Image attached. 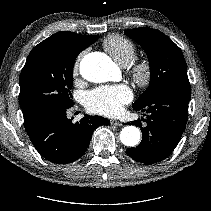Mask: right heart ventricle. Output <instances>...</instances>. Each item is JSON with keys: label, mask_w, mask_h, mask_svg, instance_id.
Here are the masks:
<instances>
[{"label": "right heart ventricle", "mask_w": 211, "mask_h": 211, "mask_svg": "<svg viewBox=\"0 0 211 211\" xmlns=\"http://www.w3.org/2000/svg\"><path fill=\"white\" fill-rule=\"evenodd\" d=\"M104 49L121 66L129 65L136 57V46L128 38L121 35H110L103 41Z\"/></svg>", "instance_id": "1"}]
</instances>
